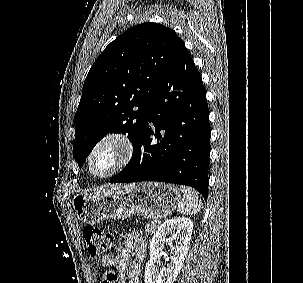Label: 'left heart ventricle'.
<instances>
[{"instance_id":"1","label":"left heart ventricle","mask_w":303,"mask_h":283,"mask_svg":"<svg viewBox=\"0 0 303 283\" xmlns=\"http://www.w3.org/2000/svg\"><path fill=\"white\" fill-rule=\"evenodd\" d=\"M116 149L111 145H106L98 150L92 162L93 171L104 173L107 171L116 159Z\"/></svg>"}]
</instances>
